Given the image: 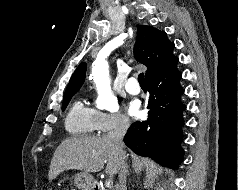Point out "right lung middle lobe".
<instances>
[{"mask_svg":"<svg viewBox=\"0 0 238 190\" xmlns=\"http://www.w3.org/2000/svg\"><path fill=\"white\" fill-rule=\"evenodd\" d=\"M75 93L72 94H67L64 96V100H63V104H62V111L66 108V106L68 105L69 101L71 100V97L74 95Z\"/></svg>","mask_w":238,"mask_h":190,"instance_id":"dd1d6c3e","label":"right lung middle lobe"}]
</instances>
